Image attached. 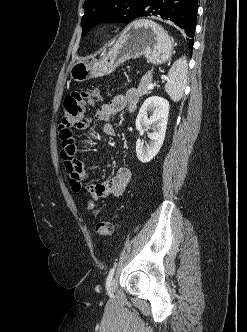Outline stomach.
I'll list each match as a JSON object with an SVG mask.
<instances>
[{
    "instance_id": "stomach-1",
    "label": "stomach",
    "mask_w": 247,
    "mask_h": 332,
    "mask_svg": "<svg viewBox=\"0 0 247 332\" xmlns=\"http://www.w3.org/2000/svg\"><path fill=\"white\" fill-rule=\"evenodd\" d=\"M173 54V41L167 32L155 22L138 19L132 22L115 45L101 59L77 61L70 65V77L77 82L102 77L112 73L130 59L145 56L148 63L161 65Z\"/></svg>"
}]
</instances>
